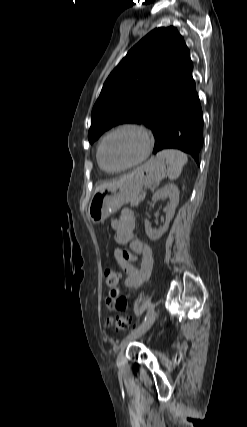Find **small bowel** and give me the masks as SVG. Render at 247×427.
Listing matches in <instances>:
<instances>
[{
	"mask_svg": "<svg viewBox=\"0 0 247 427\" xmlns=\"http://www.w3.org/2000/svg\"><path fill=\"white\" fill-rule=\"evenodd\" d=\"M114 231V240L117 244H129L130 251L117 249L115 251L116 260L125 272L126 278L124 285L130 289L139 288L151 275L153 268V253L151 247L139 238L134 236L135 218L129 210H124L118 219L111 223ZM141 255V265L137 268L133 265L136 261V255ZM106 305L110 311L123 310L127 307V299L120 296V289L111 290ZM112 323V317H109L107 324Z\"/></svg>",
	"mask_w": 247,
	"mask_h": 427,
	"instance_id": "c3829d8e",
	"label": "small bowel"
}]
</instances>
